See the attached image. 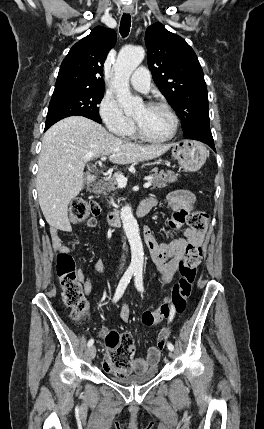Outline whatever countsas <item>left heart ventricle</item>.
Returning a JSON list of instances; mask_svg holds the SVG:
<instances>
[{
  "label": "left heart ventricle",
  "instance_id": "b2bd125f",
  "mask_svg": "<svg viewBox=\"0 0 264 429\" xmlns=\"http://www.w3.org/2000/svg\"><path fill=\"white\" fill-rule=\"evenodd\" d=\"M143 131L152 138H164L173 128L172 118L162 109L140 106L133 114Z\"/></svg>",
  "mask_w": 264,
  "mask_h": 429
}]
</instances>
